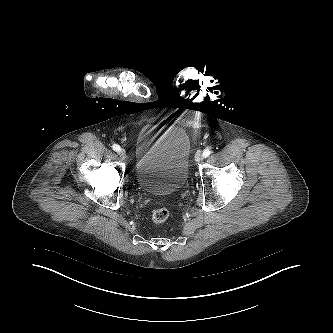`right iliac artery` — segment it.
<instances>
[{
	"mask_svg": "<svg viewBox=\"0 0 333 333\" xmlns=\"http://www.w3.org/2000/svg\"><path fill=\"white\" fill-rule=\"evenodd\" d=\"M114 151H119L120 150V146L118 144H113L112 146Z\"/></svg>",
	"mask_w": 333,
	"mask_h": 333,
	"instance_id": "1",
	"label": "right iliac artery"
}]
</instances>
